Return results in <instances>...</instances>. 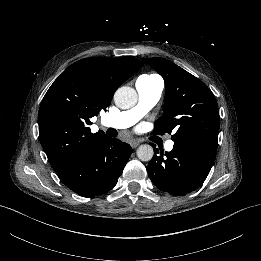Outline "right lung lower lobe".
Instances as JSON below:
<instances>
[{"label":"right lung lower lobe","instance_id":"1","mask_svg":"<svg viewBox=\"0 0 261 261\" xmlns=\"http://www.w3.org/2000/svg\"><path fill=\"white\" fill-rule=\"evenodd\" d=\"M131 153L128 144L105 137L87 154L58 172V177L82 197L102 195L116 185Z\"/></svg>","mask_w":261,"mask_h":261}]
</instances>
